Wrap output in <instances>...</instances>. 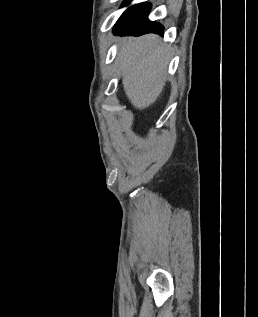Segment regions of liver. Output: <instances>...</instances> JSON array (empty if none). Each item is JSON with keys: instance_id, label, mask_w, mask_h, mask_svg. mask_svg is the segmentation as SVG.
I'll list each match as a JSON object with an SVG mask.
<instances>
[{"instance_id": "liver-1", "label": "liver", "mask_w": 258, "mask_h": 317, "mask_svg": "<svg viewBox=\"0 0 258 317\" xmlns=\"http://www.w3.org/2000/svg\"><path fill=\"white\" fill-rule=\"evenodd\" d=\"M169 44L158 34L122 36L117 54L118 70L129 100L147 108L157 100L167 80Z\"/></svg>"}]
</instances>
